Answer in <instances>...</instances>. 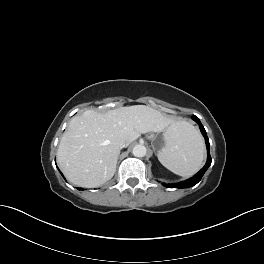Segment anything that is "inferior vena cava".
Listing matches in <instances>:
<instances>
[{
	"instance_id": "602c4592",
	"label": "inferior vena cava",
	"mask_w": 264,
	"mask_h": 264,
	"mask_svg": "<svg viewBox=\"0 0 264 264\" xmlns=\"http://www.w3.org/2000/svg\"><path fill=\"white\" fill-rule=\"evenodd\" d=\"M119 146H120V148H123V147L126 146V144H125L124 142H120V143H119Z\"/></svg>"
}]
</instances>
